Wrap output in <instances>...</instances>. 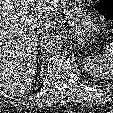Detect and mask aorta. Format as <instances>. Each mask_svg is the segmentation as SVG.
I'll list each match as a JSON object with an SVG mask.
<instances>
[{"mask_svg":"<svg viewBox=\"0 0 113 113\" xmlns=\"http://www.w3.org/2000/svg\"><path fill=\"white\" fill-rule=\"evenodd\" d=\"M43 48L48 53H56L62 47V38L59 35H49L43 40Z\"/></svg>","mask_w":113,"mask_h":113,"instance_id":"obj_1","label":"aorta"}]
</instances>
